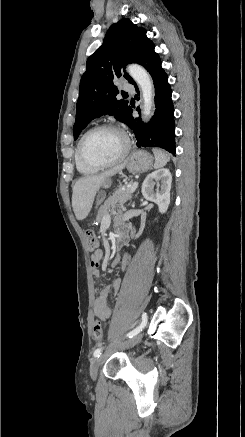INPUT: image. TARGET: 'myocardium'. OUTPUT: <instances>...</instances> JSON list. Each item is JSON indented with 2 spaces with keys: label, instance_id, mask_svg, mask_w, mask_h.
<instances>
[{
  "label": "myocardium",
  "instance_id": "obj_1",
  "mask_svg": "<svg viewBox=\"0 0 245 437\" xmlns=\"http://www.w3.org/2000/svg\"><path fill=\"white\" fill-rule=\"evenodd\" d=\"M100 130H113V131L118 132L123 137V140H124L123 151L114 160H111L108 162H96V161L89 159L84 153L83 146H84V142L87 139V137L89 135H91L92 133L100 131ZM130 148H131V142H130V139H129L127 133L121 127L114 125V124H111V123H102V124H98V125L91 127L81 136V138L78 142V145H77L78 153H79L81 160L85 164H87L88 166L98 168V169L112 167V166L122 162L128 156Z\"/></svg>",
  "mask_w": 245,
  "mask_h": 437
}]
</instances>
